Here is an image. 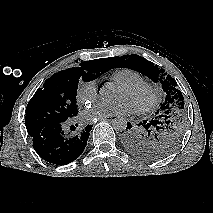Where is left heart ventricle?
I'll return each instance as SVG.
<instances>
[{"instance_id": "1", "label": "left heart ventricle", "mask_w": 213, "mask_h": 213, "mask_svg": "<svg viewBox=\"0 0 213 213\" xmlns=\"http://www.w3.org/2000/svg\"><path fill=\"white\" fill-rule=\"evenodd\" d=\"M117 101H125L131 105L132 108L143 107L150 101V93L147 89L142 88L135 92H128L120 88Z\"/></svg>"}]
</instances>
